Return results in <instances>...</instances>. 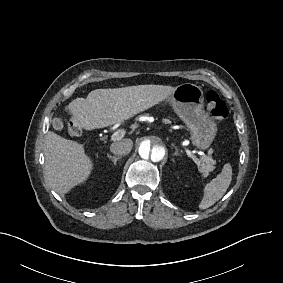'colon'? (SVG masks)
Segmentation results:
<instances>
[{"instance_id":"1","label":"colon","mask_w":283,"mask_h":283,"mask_svg":"<svg viewBox=\"0 0 283 283\" xmlns=\"http://www.w3.org/2000/svg\"><path fill=\"white\" fill-rule=\"evenodd\" d=\"M206 101L211 118L219 123H224L228 118L229 110L220 96L216 92L210 91L207 93ZM67 130L73 137L82 133L81 128L76 126L71 120L67 123Z\"/></svg>"}]
</instances>
